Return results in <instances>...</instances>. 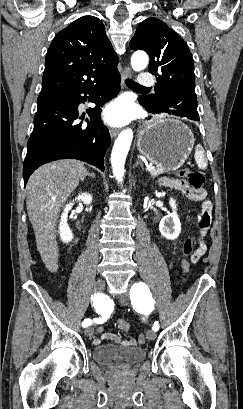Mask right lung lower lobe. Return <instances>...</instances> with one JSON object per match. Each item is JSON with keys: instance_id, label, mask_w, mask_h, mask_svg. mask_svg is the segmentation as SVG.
<instances>
[{"instance_id": "1", "label": "right lung lower lobe", "mask_w": 243, "mask_h": 409, "mask_svg": "<svg viewBox=\"0 0 243 409\" xmlns=\"http://www.w3.org/2000/svg\"><path fill=\"white\" fill-rule=\"evenodd\" d=\"M120 79L117 72L91 86L38 97L23 165L24 185L39 166L58 159H78L104 171V155L111 139L107 127L94 116L117 95ZM87 100L96 107L88 112L91 118L85 125L77 122L81 118L78 105Z\"/></svg>"}]
</instances>
